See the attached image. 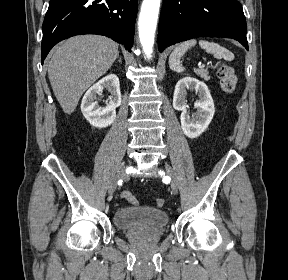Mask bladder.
<instances>
[{"mask_svg": "<svg viewBox=\"0 0 288 280\" xmlns=\"http://www.w3.org/2000/svg\"><path fill=\"white\" fill-rule=\"evenodd\" d=\"M114 225L126 231H162L168 225V214L150 206L123 207L113 213Z\"/></svg>", "mask_w": 288, "mask_h": 280, "instance_id": "bladder-1", "label": "bladder"}]
</instances>
